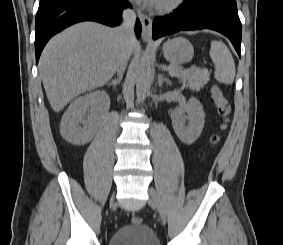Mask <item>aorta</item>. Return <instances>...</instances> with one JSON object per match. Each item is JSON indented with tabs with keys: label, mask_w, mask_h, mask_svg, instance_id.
<instances>
[{
	"label": "aorta",
	"mask_w": 283,
	"mask_h": 245,
	"mask_svg": "<svg viewBox=\"0 0 283 245\" xmlns=\"http://www.w3.org/2000/svg\"><path fill=\"white\" fill-rule=\"evenodd\" d=\"M152 79L151 61L145 52L139 62L136 74V94L138 102L142 103L149 93Z\"/></svg>",
	"instance_id": "obj_1"
}]
</instances>
